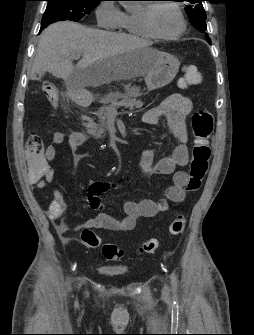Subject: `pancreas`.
Returning <instances> with one entry per match:
<instances>
[{
	"mask_svg": "<svg viewBox=\"0 0 254 335\" xmlns=\"http://www.w3.org/2000/svg\"><path fill=\"white\" fill-rule=\"evenodd\" d=\"M134 90V88H129L124 94L119 92L109 93L102 99V102L105 105H103L97 112L99 124H96L92 119H89L86 124L88 133L98 137L103 135L107 128V118L111 110H116L121 106L131 110L134 108H142L143 102L136 99V96L133 94Z\"/></svg>",
	"mask_w": 254,
	"mask_h": 335,
	"instance_id": "1",
	"label": "pancreas"
}]
</instances>
